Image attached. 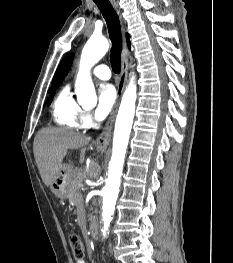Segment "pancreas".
<instances>
[{
  "mask_svg": "<svg viewBox=\"0 0 233 263\" xmlns=\"http://www.w3.org/2000/svg\"><path fill=\"white\" fill-rule=\"evenodd\" d=\"M82 181V174L78 170L69 177L70 191L68 198L71 204L80 205L82 203V194L80 192Z\"/></svg>",
  "mask_w": 233,
  "mask_h": 263,
  "instance_id": "obj_1",
  "label": "pancreas"
}]
</instances>
